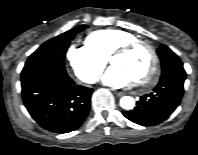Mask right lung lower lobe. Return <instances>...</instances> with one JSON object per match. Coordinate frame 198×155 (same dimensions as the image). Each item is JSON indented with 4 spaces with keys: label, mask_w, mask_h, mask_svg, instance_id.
Segmentation results:
<instances>
[{
    "label": "right lung lower lobe",
    "mask_w": 198,
    "mask_h": 155,
    "mask_svg": "<svg viewBox=\"0 0 198 155\" xmlns=\"http://www.w3.org/2000/svg\"><path fill=\"white\" fill-rule=\"evenodd\" d=\"M21 84L25 107L46 130L74 131L89 113L93 90L75 85L63 69L45 64L25 65Z\"/></svg>",
    "instance_id": "1"
}]
</instances>
